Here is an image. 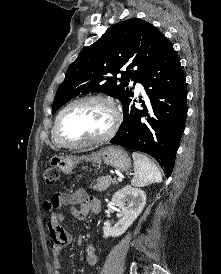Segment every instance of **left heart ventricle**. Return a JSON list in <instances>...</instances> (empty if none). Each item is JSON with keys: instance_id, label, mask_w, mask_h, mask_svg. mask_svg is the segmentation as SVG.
<instances>
[{"instance_id": "b2bd125f", "label": "left heart ventricle", "mask_w": 221, "mask_h": 274, "mask_svg": "<svg viewBox=\"0 0 221 274\" xmlns=\"http://www.w3.org/2000/svg\"><path fill=\"white\" fill-rule=\"evenodd\" d=\"M110 109L98 102H85L70 108L62 118L61 133L69 141H82L104 134L110 127Z\"/></svg>"}]
</instances>
